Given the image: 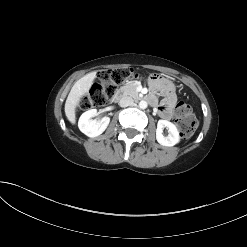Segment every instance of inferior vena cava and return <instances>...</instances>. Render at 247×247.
Wrapping results in <instances>:
<instances>
[{"instance_id":"obj_1","label":"inferior vena cava","mask_w":247,"mask_h":247,"mask_svg":"<svg viewBox=\"0 0 247 247\" xmlns=\"http://www.w3.org/2000/svg\"><path fill=\"white\" fill-rule=\"evenodd\" d=\"M133 102H134V100L132 99V97L123 96L119 101V105L121 107H127V106H131L133 104Z\"/></svg>"}]
</instances>
